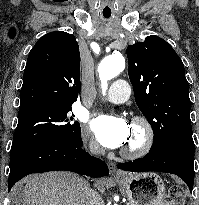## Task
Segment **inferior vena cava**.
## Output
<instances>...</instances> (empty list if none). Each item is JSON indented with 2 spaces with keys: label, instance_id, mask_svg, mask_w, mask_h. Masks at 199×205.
I'll return each mask as SVG.
<instances>
[{
  "label": "inferior vena cava",
  "instance_id": "inferior-vena-cava-1",
  "mask_svg": "<svg viewBox=\"0 0 199 205\" xmlns=\"http://www.w3.org/2000/svg\"><path fill=\"white\" fill-rule=\"evenodd\" d=\"M90 152L94 155L100 154L101 148L97 144L91 145ZM84 190L88 199V205H104L101 196L95 190L90 188L88 183L86 184Z\"/></svg>",
  "mask_w": 199,
  "mask_h": 205
}]
</instances>
